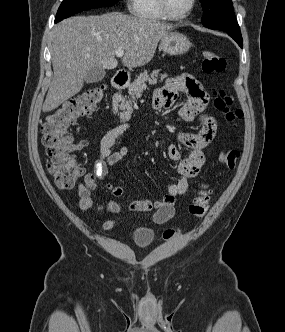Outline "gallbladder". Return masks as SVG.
<instances>
[{
	"instance_id": "1",
	"label": "gallbladder",
	"mask_w": 285,
	"mask_h": 332,
	"mask_svg": "<svg viewBox=\"0 0 285 332\" xmlns=\"http://www.w3.org/2000/svg\"><path fill=\"white\" fill-rule=\"evenodd\" d=\"M105 69L100 67H92L86 74L84 81L86 83H96L102 81L105 77Z\"/></svg>"
}]
</instances>
